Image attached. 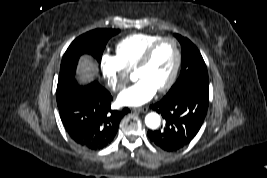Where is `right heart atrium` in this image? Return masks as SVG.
I'll list each match as a JSON object with an SVG mask.
<instances>
[{"mask_svg": "<svg viewBox=\"0 0 267 178\" xmlns=\"http://www.w3.org/2000/svg\"><path fill=\"white\" fill-rule=\"evenodd\" d=\"M100 66L103 76L112 90L120 91L125 87L129 79V71L117 57L104 54L101 57Z\"/></svg>", "mask_w": 267, "mask_h": 178, "instance_id": "right-heart-atrium-1", "label": "right heart atrium"}]
</instances>
